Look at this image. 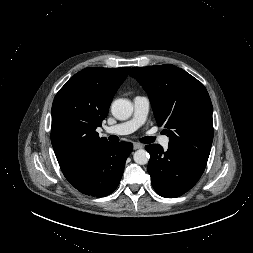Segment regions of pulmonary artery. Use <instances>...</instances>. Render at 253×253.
I'll list each match as a JSON object with an SVG mask.
<instances>
[{
  "label": "pulmonary artery",
  "instance_id": "pulmonary-artery-1",
  "mask_svg": "<svg viewBox=\"0 0 253 253\" xmlns=\"http://www.w3.org/2000/svg\"><path fill=\"white\" fill-rule=\"evenodd\" d=\"M134 112L130 120L107 127L104 130L105 134H114V135H127L136 131L147 119L149 109H150V100L146 96H136L133 99ZM169 138L162 137L160 138V144L167 149L169 145Z\"/></svg>",
  "mask_w": 253,
  "mask_h": 253
}]
</instances>
